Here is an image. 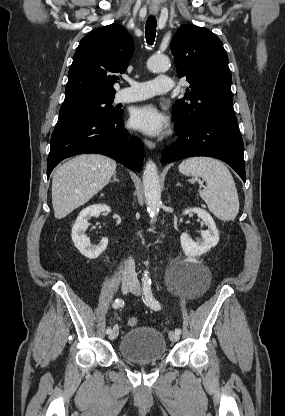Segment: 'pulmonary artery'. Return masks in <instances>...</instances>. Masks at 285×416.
Returning <instances> with one entry per match:
<instances>
[{
  "mask_svg": "<svg viewBox=\"0 0 285 416\" xmlns=\"http://www.w3.org/2000/svg\"><path fill=\"white\" fill-rule=\"evenodd\" d=\"M152 87H144L150 86ZM173 87L171 78L159 75L147 82L130 81L129 87H121L115 95V102L127 103L143 100L168 92Z\"/></svg>",
  "mask_w": 285,
  "mask_h": 416,
  "instance_id": "obj_1",
  "label": "pulmonary artery"
}]
</instances>
